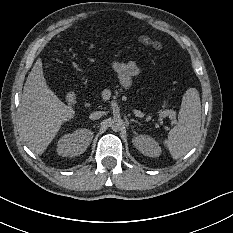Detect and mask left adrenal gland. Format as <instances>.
<instances>
[{
	"label": "left adrenal gland",
	"mask_w": 233,
	"mask_h": 233,
	"mask_svg": "<svg viewBox=\"0 0 233 233\" xmlns=\"http://www.w3.org/2000/svg\"><path fill=\"white\" fill-rule=\"evenodd\" d=\"M130 121H131V122H135V123H138V124H139V122H138L137 120H135V119H130Z\"/></svg>",
	"instance_id": "obj_1"
}]
</instances>
